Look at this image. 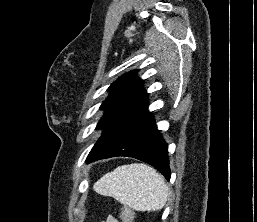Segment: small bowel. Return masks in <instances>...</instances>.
Segmentation results:
<instances>
[{
	"label": "small bowel",
	"instance_id": "1",
	"mask_svg": "<svg viewBox=\"0 0 257 222\" xmlns=\"http://www.w3.org/2000/svg\"><path fill=\"white\" fill-rule=\"evenodd\" d=\"M104 222H118V220L113 216H109Z\"/></svg>",
	"mask_w": 257,
	"mask_h": 222
}]
</instances>
